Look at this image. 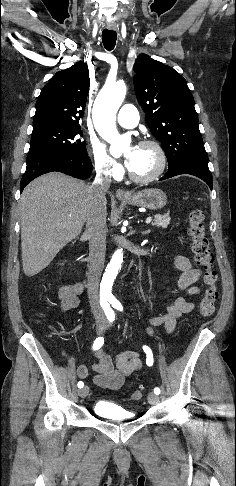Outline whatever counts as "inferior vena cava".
I'll return each mask as SVG.
<instances>
[{
    "mask_svg": "<svg viewBox=\"0 0 236 486\" xmlns=\"http://www.w3.org/2000/svg\"><path fill=\"white\" fill-rule=\"evenodd\" d=\"M111 176L103 170L102 166L96 167V177L91 184L90 202L86 213L85 234L89 239V272L87 293L89 303L94 315H102L99 304V282L104 268L106 253V198L105 193L109 189Z\"/></svg>",
    "mask_w": 236,
    "mask_h": 486,
    "instance_id": "obj_1",
    "label": "inferior vena cava"
}]
</instances>
